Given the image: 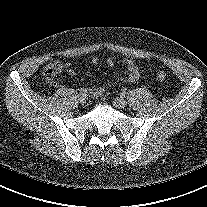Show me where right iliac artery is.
<instances>
[{
	"instance_id": "obj_1",
	"label": "right iliac artery",
	"mask_w": 207,
	"mask_h": 207,
	"mask_svg": "<svg viewBox=\"0 0 207 207\" xmlns=\"http://www.w3.org/2000/svg\"><path fill=\"white\" fill-rule=\"evenodd\" d=\"M86 93H87L86 89L84 88L80 89V95H86Z\"/></svg>"
}]
</instances>
